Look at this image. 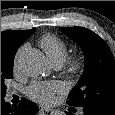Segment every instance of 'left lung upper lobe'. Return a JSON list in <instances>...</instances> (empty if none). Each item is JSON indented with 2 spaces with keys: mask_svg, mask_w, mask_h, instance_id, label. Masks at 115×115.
Segmentation results:
<instances>
[{
  "mask_svg": "<svg viewBox=\"0 0 115 115\" xmlns=\"http://www.w3.org/2000/svg\"><path fill=\"white\" fill-rule=\"evenodd\" d=\"M74 39L85 56V69L67 103L115 114V62L108 45L93 31L84 27L60 28Z\"/></svg>",
  "mask_w": 115,
  "mask_h": 115,
  "instance_id": "obj_1",
  "label": "left lung upper lobe"
}]
</instances>
